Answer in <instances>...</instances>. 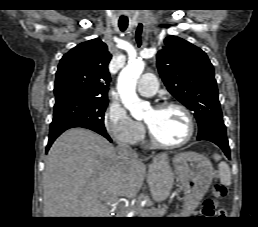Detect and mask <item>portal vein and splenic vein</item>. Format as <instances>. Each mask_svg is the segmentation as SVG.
Instances as JSON below:
<instances>
[{"instance_id":"portal-vein-and-splenic-vein-1","label":"portal vein and splenic vein","mask_w":258,"mask_h":227,"mask_svg":"<svg viewBox=\"0 0 258 227\" xmlns=\"http://www.w3.org/2000/svg\"><path fill=\"white\" fill-rule=\"evenodd\" d=\"M108 202H116V200H112V199H110V200H107Z\"/></svg>"}]
</instances>
